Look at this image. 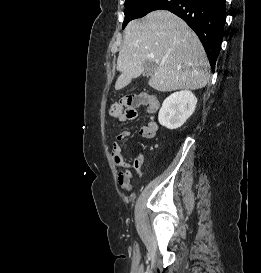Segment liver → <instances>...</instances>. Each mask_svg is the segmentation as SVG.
Returning <instances> with one entry per match:
<instances>
[{"mask_svg": "<svg viewBox=\"0 0 261 273\" xmlns=\"http://www.w3.org/2000/svg\"><path fill=\"white\" fill-rule=\"evenodd\" d=\"M145 62L155 64L148 84L157 91L197 90L210 79V65L199 38L181 18L166 10L153 11L126 26L115 90L139 77Z\"/></svg>", "mask_w": 261, "mask_h": 273, "instance_id": "liver-1", "label": "liver"}]
</instances>
